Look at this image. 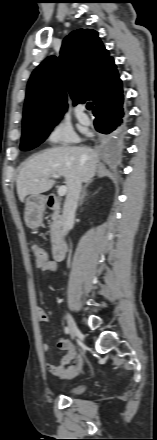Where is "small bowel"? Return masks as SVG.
<instances>
[{
	"instance_id": "obj_1",
	"label": "small bowel",
	"mask_w": 157,
	"mask_h": 440,
	"mask_svg": "<svg viewBox=\"0 0 157 440\" xmlns=\"http://www.w3.org/2000/svg\"><path fill=\"white\" fill-rule=\"evenodd\" d=\"M56 269V264L50 261L48 265L41 270L55 272ZM37 317L40 322L46 323L49 321L48 314L41 307L37 308ZM57 346L59 349L64 350L65 354L61 357L59 363L57 364L50 362L46 363L47 370L54 376L62 379H71L77 376L82 371L84 366L83 356L77 354L76 350L65 338H60L57 342ZM42 348L44 352H47L50 349V345L48 343H44Z\"/></svg>"
}]
</instances>
